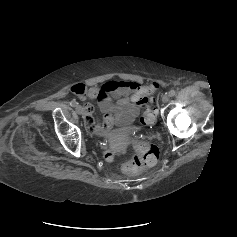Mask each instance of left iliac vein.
<instances>
[{
	"label": "left iliac vein",
	"instance_id": "4c4485c4",
	"mask_svg": "<svg viewBox=\"0 0 237 237\" xmlns=\"http://www.w3.org/2000/svg\"><path fill=\"white\" fill-rule=\"evenodd\" d=\"M169 95L168 94H165L163 97H162V101L163 103H167L169 101Z\"/></svg>",
	"mask_w": 237,
	"mask_h": 237
}]
</instances>
